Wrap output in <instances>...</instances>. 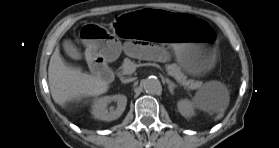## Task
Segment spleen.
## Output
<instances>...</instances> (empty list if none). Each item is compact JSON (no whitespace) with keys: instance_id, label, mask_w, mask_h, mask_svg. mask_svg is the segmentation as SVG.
Masks as SVG:
<instances>
[{"instance_id":"3e777b00","label":"spleen","mask_w":279,"mask_h":148,"mask_svg":"<svg viewBox=\"0 0 279 148\" xmlns=\"http://www.w3.org/2000/svg\"><path fill=\"white\" fill-rule=\"evenodd\" d=\"M220 86L221 85L218 82H214V81L206 83L203 89L200 92H198L197 100L199 101L203 99L205 96L211 94L216 88ZM225 110H226V103L219 104L215 109L217 113L215 116V120H220L223 117Z\"/></svg>"}]
</instances>
